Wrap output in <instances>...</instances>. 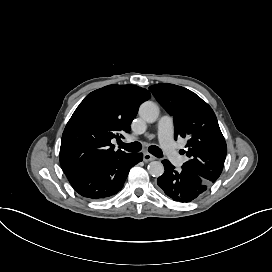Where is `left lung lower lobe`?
I'll return each mask as SVG.
<instances>
[{"label": "left lung lower lobe", "mask_w": 272, "mask_h": 272, "mask_svg": "<svg viewBox=\"0 0 272 272\" xmlns=\"http://www.w3.org/2000/svg\"><path fill=\"white\" fill-rule=\"evenodd\" d=\"M162 163L165 172L158 178L157 184L174 201L191 202L204 194L211 186V183L196 173L183 167L181 172H177L168 160H163Z\"/></svg>", "instance_id": "left-lung-lower-lobe-1"}]
</instances>
